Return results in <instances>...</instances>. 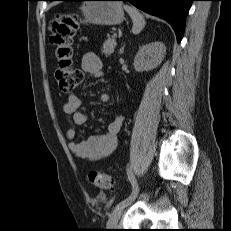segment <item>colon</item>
<instances>
[{"label":"colon","mask_w":231,"mask_h":231,"mask_svg":"<svg viewBox=\"0 0 231 231\" xmlns=\"http://www.w3.org/2000/svg\"><path fill=\"white\" fill-rule=\"evenodd\" d=\"M80 21L78 14L61 13L51 23L50 41L55 46L59 59L55 76L59 89L64 94L73 92L83 80L82 71L73 65V43ZM89 180L102 190L114 185L112 176L97 170L90 171Z\"/></svg>","instance_id":"1"}]
</instances>
